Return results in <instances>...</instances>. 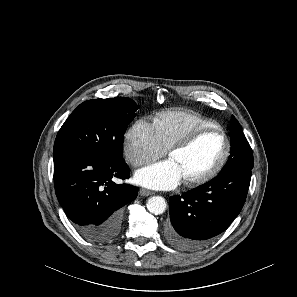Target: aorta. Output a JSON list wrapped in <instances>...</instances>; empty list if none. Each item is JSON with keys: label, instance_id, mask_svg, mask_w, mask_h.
<instances>
[{"label": "aorta", "instance_id": "1", "mask_svg": "<svg viewBox=\"0 0 297 297\" xmlns=\"http://www.w3.org/2000/svg\"><path fill=\"white\" fill-rule=\"evenodd\" d=\"M166 201L161 196H153L147 202V209L154 215H160L166 210Z\"/></svg>", "mask_w": 297, "mask_h": 297}]
</instances>
